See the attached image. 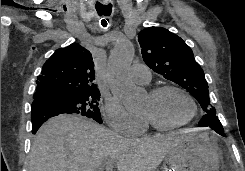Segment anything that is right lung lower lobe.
I'll use <instances>...</instances> for the list:
<instances>
[{"mask_svg":"<svg viewBox=\"0 0 245 171\" xmlns=\"http://www.w3.org/2000/svg\"><path fill=\"white\" fill-rule=\"evenodd\" d=\"M66 114L62 109L46 100H37L31 106L32 133L35 134L40 126L49 118Z\"/></svg>","mask_w":245,"mask_h":171,"instance_id":"98d812e1","label":"right lung lower lobe"}]
</instances>
